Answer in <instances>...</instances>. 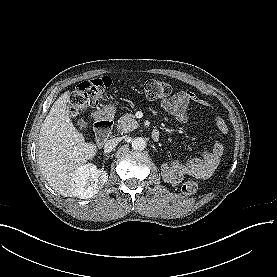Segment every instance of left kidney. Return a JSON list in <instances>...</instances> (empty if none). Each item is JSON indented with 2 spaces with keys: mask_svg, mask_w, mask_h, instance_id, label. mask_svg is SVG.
<instances>
[{
  "mask_svg": "<svg viewBox=\"0 0 277 277\" xmlns=\"http://www.w3.org/2000/svg\"><path fill=\"white\" fill-rule=\"evenodd\" d=\"M161 174H162V178L165 181H168L170 183L177 182V180H176L177 176H180V177L183 176V174L180 170L175 169V168L174 169L170 168V167H168L167 164H162L161 165Z\"/></svg>",
  "mask_w": 277,
  "mask_h": 277,
  "instance_id": "left-kidney-1",
  "label": "left kidney"
}]
</instances>
